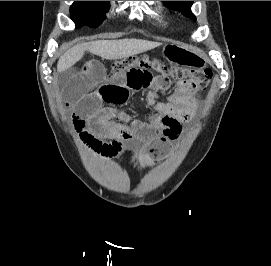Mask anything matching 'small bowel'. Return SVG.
<instances>
[{"label":"small bowel","mask_w":271,"mask_h":266,"mask_svg":"<svg viewBox=\"0 0 271 266\" xmlns=\"http://www.w3.org/2000/svg\"><path fill=\"white\" fill-rule=\"evenodd\" d=\"M169 88L168 78L154 74L151 68L134 66L107 75L100 62L91 60L67 70L61 100L80 140L89 149L112 158L125 142L137 143L143 149L140 167L145 168L165 153L168 142L180 135L182 124L191 121L198 109L196 98L180 85L159 101L158 93ZM138 90H149L148 103L157 111L148 120H133L117 109Z\"/></svg>","instance_id":"small-bowel-1"}]
</instances>
